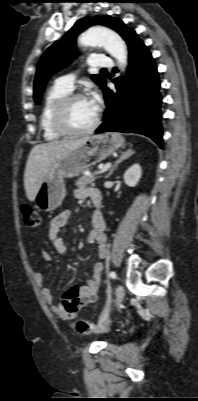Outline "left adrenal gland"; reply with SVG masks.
I'll use <instances>...</instances> for the list:
<instances>
[{
  "label": "left adrenal gland",
  "mask_w": 198,
  "mask_h": 401,
  "mask_svg": "<svg viewBox=\"0 0 198 401\" xmlns=\"http://www.w3.org/2000/svg\"><path fill=\"white\" fill-rule=\"evenodd\" d=\"M135 153V151H133L132 149H128L124 152L121 153L120 157L117 159V161L114 163V165L112 166L110 172L106 175V179H108L113 172L115 171V169L117 168V166L123 162L126 159H129L133 154Z\"/></svg>",
  "instance_id": "a2214340"
}]
</instances>
